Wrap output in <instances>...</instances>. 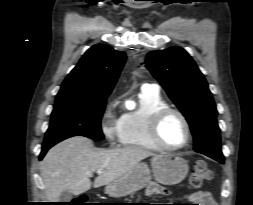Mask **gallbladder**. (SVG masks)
<instances>
[{"label": "gallbladder", "instance_id": "obj_1", "mask_svg": "<svg viewBox=\"0 0 253 205\" xmlns=\"http://www.w3.org/2000/svg\"><path fill=\"white\" fill-rule=\"evenodd\" d=\"M72 199V193L69 191H63L59 197V202H70Z\"/></svg>", "mask_w": 253, "mask_h": 205}]
</instances>
